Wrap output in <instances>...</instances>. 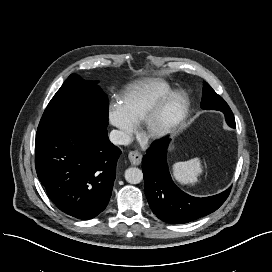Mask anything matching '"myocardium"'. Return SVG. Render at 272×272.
Here are the masks:
<instances>
[{"label": "myocardium", "instance_id": "f54148a6", "mask_svg": "<svg viewBox=\"0 0 272 272\" xmlns=\"http://www.w3.org/2000/svg\"><path fill=\"white\" fill-rule=\"evenodd\" d=\"M188 106L189 100L184 92H171L148 115L146 136L159 139L174 132L186 119Z\"/></svg>", "mask_w": 272, "mask_h": 272}]
</instances>
